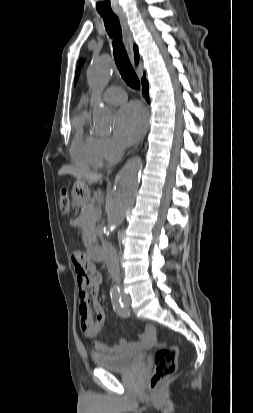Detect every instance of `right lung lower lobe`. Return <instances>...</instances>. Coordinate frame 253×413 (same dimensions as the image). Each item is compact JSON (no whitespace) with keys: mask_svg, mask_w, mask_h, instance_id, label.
I'll return each instance as SVG.
<instances>
[{"mask_svg":"<svg viewBox=\"0 0 253 413\" xmlns=\"http://www.w3.org/2000/svg\"><path fill=\"white\" fill-rule=\"evenodd\" d=\"M142 85H143V94L146 98L147 101H149V97H148V82L145 79V77L142 78Z\"/></svg>","mask_w":253,"mask_h":413,"instance_id":"98d812e1","label":"right lung lower lobe"}]
</instances>
